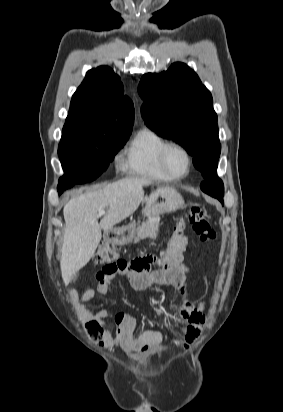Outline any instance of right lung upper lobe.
I'll use <instances>...</instances> for the list:
<instances>
[{"instance_id":"cb5924a9","label":"right lung upper lobe","mask_w":283,"mask_h":412,"mask_svg":"<svg viewBox=\"0 0 283 412\" xmlns=\"http://www.w3.org/2000/svg\"><path fill=\"white\" fill-rule=\"evenodd\" d=\"M123 94V84L113 70L92 69L74 93L66 121L96 135L131 132L134 107Z\"/></svg>"}]
</instances>
